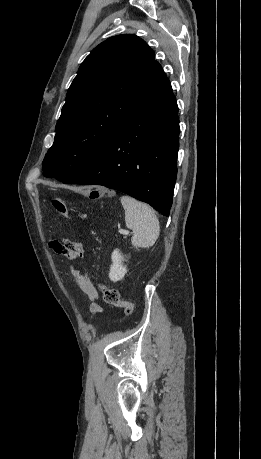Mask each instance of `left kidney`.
<instances>
[{"mask_svg":"<svg viewBox=\"0 0 261 459\" xmlns=\"http://www.w3.org/2000/svg\"><path fill=\"white\" fill-rule=\"evenodd\" d=\"M112 265L110 267L109 278L113 282L121 280L127 273V269L123 266L124 257L118 249L114 250L112 255Z\"/></svg>","mask_w":261,"mask_h":459,"instance_id":"1","label":"left kidney"}]
</instances>
